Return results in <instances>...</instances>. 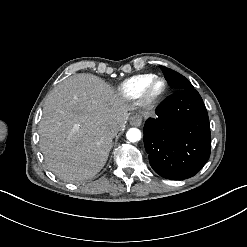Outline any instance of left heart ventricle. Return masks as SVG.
<instances>
[{
	"label": "left heart ventricle",
	"instance_id": "obj_1",
	"mask_svg": "<svg viewBox=\"0 0 247 247\" xmlns=\"http://www.w3.org/2000/svg\"><path fill=\"white\" fill-rule=\"evenodd\" d=\"M163 88V84L161 82H158L155 84V86L152 89V93H157Z\"/></svg>",
	"mask_w": 247,
	"mask_h": 247
}]
</instances>
